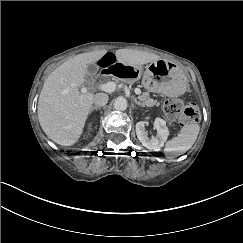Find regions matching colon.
I'll use <instances>...</instances> for the list:
<instances>
[{
	"mask_svg": "<svg viewBox=\"0 0 243 243\" xmlns=\"http://www.w3.org/2000/svg\"><path fill=\"white\" fill-rule=\"evenodd\" d=\"M163 111L168 118L179 119L182 125L196 123L200 119V112L195 104L184 105L178 98L165 101Z\"/></svg>",
	"mask_w": 243,
	"mask_h": 243,
	"instance_id": "5ec220e1",
	"label": "colon"
}]
</instances>
